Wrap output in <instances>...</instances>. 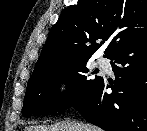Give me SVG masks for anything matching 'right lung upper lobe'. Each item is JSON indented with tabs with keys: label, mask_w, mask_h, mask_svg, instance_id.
Wrapping results in <instances>:
<instances>
[{
	"label": "right lung upper lobe",
	"mask_w": 147,
	"mask_h": 131,
	"mask_svg": "<svg viewBox=\"0 0 147 131\" xmlns=\"http://www.w3.org/2000/svg\"><path fill=\"white\" fill-rule=\"evenodd\" d=\"M147 36V0H78L50 30L32 76L88 60L111 39L104 57ZM31 76V77H32Z\"/></svg>",
	"instance_id": "obj_1"
}]
</instances>
